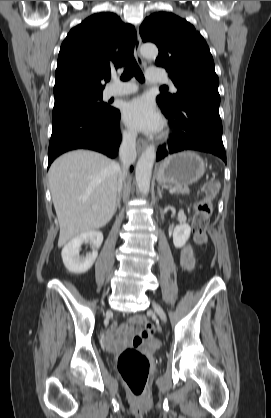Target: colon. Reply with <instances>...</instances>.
Segmentation results:
<instances>
[{
	"label": "colon",
	"mask_w": 271,
	"mask_h": 418,
	"mask_svg": "<svg viewBox=\"0 0 271 418\" xmlns=\"http://www.w3.org/2000/svg\"><path fill=\"white\" fill-rule=\"evenodd\" d=\"M219 184L215 181H207L203 187V198L195 206V218L193 229L195 240L199 245L206 243V228L213 212L212 199L218 193ZM139 323L144 326L142 336L152 337L153 326L144 318L139 317ZM118 371L129 388L132 395L140 397L144 394L150 373V361L148 357L135 348L124 349L118 357Z\"/></svg>",
	"instance_id": "colon-1"
}]
</instances>
